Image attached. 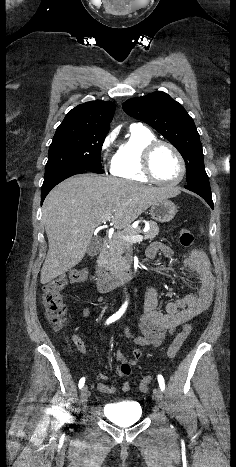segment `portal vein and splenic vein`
Here are the masks:
<instances>
[{
  "label": "portal vein and splenic vein",
  "mask_w": 236,
  "mask_h": 467,
  "mask_svg": "<svg viewBox=\"0 0 236 467\" xmlns=\"http://www.w3.org/2000/svg\"><path fill=\"white\" fill-rule=\"evenodd\" d=\"M110 219H111L110 216H106L104 217L103 221L104 222L109 221ZM122 239L130 243H136V242H141L144 239V237L142 235H133V236L126 235V236H122Z\"/></svg>",
  "instance_id": "18ae733b"
}]
</instances>
